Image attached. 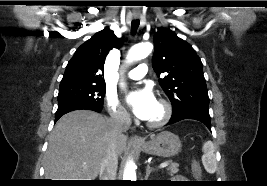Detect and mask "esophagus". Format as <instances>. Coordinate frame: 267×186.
<instances>
[{
  "mask_svg": "<svg viewBox=\"0 0 267 186\" xmlns=\"http://www.w3.org/2000/svg\"><path fill=\"white\" fill-rule=\"evenodd\" d=\"M135 18H137V16H135ZM130 142L134 143V144H142L143 140L141 139V137L137 136V135H133L130 138Z\"/></svg>",
  "mask_w": 267,
  "mask_h": 186,
  "instance_id": "34e87169",
  "label": "esophagus"
}]
</instances>
